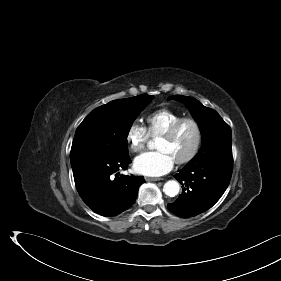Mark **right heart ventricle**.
Masks as SVG:
<instances>
[{"label": "right heart ventricle", "instance_id": "e07e8e85", "mask_svg": "<svg viewBox=\"0 0 281 281\" xmlns=\"http://www.w3.org/2000/svg\"><path fill=\"white\" fill-rule=\"evenodd\" d=\"M182 115L167 109H158L146 117L147 130L151 137H160Z\"/></svg>", "mask_w": 281, "mask_h": 281}]
</instances>
